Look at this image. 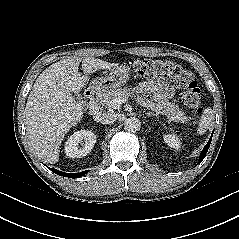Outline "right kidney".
I'll return each mask as SVG.
<instances>
[{
    "instance_id": "obj_1",
    "label": "right kidney",
    "mask_w": 239,
    "mask_h": 239,
    "mask_svg": "<svg viewBox=\"0 0 239 239\" xmlns=\"http://www.w3.org/2000/svg\"><path fill=\"white\" fill-rule=\"evenodd\" d=\"M95 143L96 135L92 131L80 130L74 132L66 141L65 153L71 158H81L91 152Z\"/></svg>"
}]
</instances>
